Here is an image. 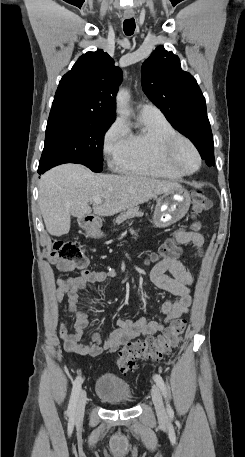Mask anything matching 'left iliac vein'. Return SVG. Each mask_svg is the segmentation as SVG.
Listing matches in <instances>:
<instances>
[{
	"label": "left iliac vein",
	"mask_w": 245,
	"mask_h": 457,
	"mask_svg": "<svg viewBox=\"0 0 245 457\" xmlns=\"http://www.w3.org/2000/svg\"><path fill=\"white\" fill-rule=\"evenodd\" d=\"M152 400L154 402L158 418L164 420L166 418V411L161 393L156 385H153L152 388Z\"/></svg>",
	"instance_id": "left-iliac-vein-1"
}]
</instances>
